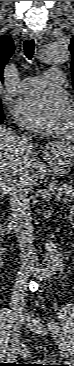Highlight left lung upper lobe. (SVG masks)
I'll return each instance as SVG.
<instances>
[{"label":"left lung upper lobe","mask_w":74,"mask_h":366,"mask_svg":"<svg viewBox=\"0 0 74 366\" xmlns=\"http://www.w3.org/2000/svg\"><path fill=\"white\" fill-rule=\"evenodd\" d=\"M72 54L71 71H72V82L74 86V37L71 39V44L69 47Z\"/></svg>","instance_id":"1"}]
</instances>
